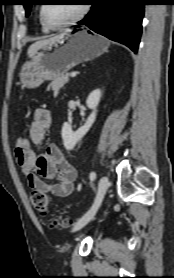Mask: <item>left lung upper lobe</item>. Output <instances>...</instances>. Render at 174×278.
<instances>
[{
  "mask_svg": "<svg viewBox=\"0 0 174 278\" xmlns=\"http://www.w3.org/2000/svg\"><path fill=\"white\" fill-rule=\"evenodd\" d=\"M34 0H23V6L26 9V16L30 14V8L34 4Z\"/></svg>",
  "mask_w": 174,
  "mask_h": 278,
  "instance_id": "obj_1",
  "label": "left lung upper lobe"
}]
</instances>
